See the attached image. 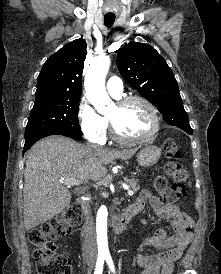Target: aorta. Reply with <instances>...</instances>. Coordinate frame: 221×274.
<instances>
[{
    "label": "aorta",
    "instance_id": "aorta-1",
    "mask_svg": "<svg viewBox=\"0 0 221 274\" xmlns=\"http://www.w3.org/2000/svg\"><path fill=\"white\" fill-rule=\"evenodd\" d=\"M110 67V59L107 57L97 58L88 69L84 86L89 102L98 110L102 111L105 105L110 103V98L105 89V78ZM108 211L101 206L97 213L96 232L98 251L100 254H108L107 239Z\"/></svg>",
    "mask_w": 221,
    "mask_h": 274
}]
</instances>
